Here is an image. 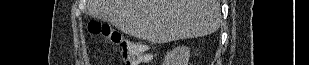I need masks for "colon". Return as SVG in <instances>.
<instances>
[{
    "label": "colon",
    "mask_w": 309,
    "mask_h": 65,
    "mask_svg": "<svg viewBox=\"0 0 309 65\" xmlns=\"http://www.w3.org/2000/svg\"><path fill=\"white\" fill-rule=\"evenodd\" d=\"M89 30L95 35H104L111 39L116 47L121 62L124 65H137L146 60V53L142 43L134 40H125L118 33L110 34L105 27L97 21L89 24Z\"/></svg>",
    "instance_id": "obj_1"
}]
</instances>
